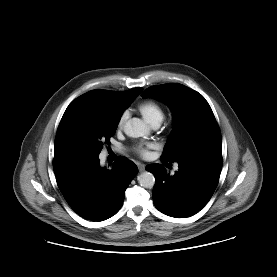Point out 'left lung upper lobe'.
<instances>
[{"instance_id": "left-lung-upper-lobe-1", "label": "left lung upper lobe", "mask_w": 277, "mask_h": 277, "mask_svg": "<svg viewBox=\"0 0 277 277\" xmlns=\"http://www.w3.org/2000/svg\"><path fill=\"white\" fill-rule=\"evenodd\" d=\"M142 97H153L171 106L174 129L161 156L162 161H181L201 151L221 149V133L206 99L181 84L156 85Z\"/></svg>"}]
</instances>
